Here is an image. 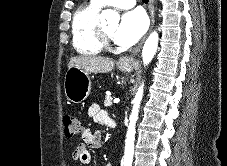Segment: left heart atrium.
<instances>
[{
	"mask_svg": "<svg viewBox=\"0 0 227 166\" xmlns=\"http://www.w3.org/2000/svg\"><path fill=\"white\" fill-rule=\"evenodd\" d=\"M148 19L140 9L129 11L122 15L115 30V40L123 45L134 44L146 31Z\"/></svg>",
	"mask_w": 227,
	"mask_h": 166,
	"instance_id": "39dd6f15",
	"label": "left heart atrium"
}]
</instances>
